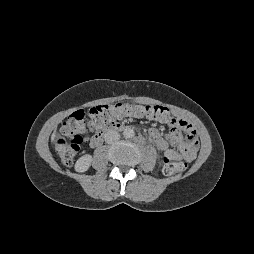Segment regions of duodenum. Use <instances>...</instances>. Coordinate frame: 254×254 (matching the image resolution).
Wrapping results in <instances>:
<instances>
[{
	"label": "duodenum",
	"instance_id": "410a0bca",
	"mask_svg": "<svg viewBox=\"0 0 254 254\" xmlns=\"http://www.w3.org/2000/svg\"><path fill=\"white\" fill-rule=\"evenodd\" d=\"M127 128H128V126L123 123H115L110 128H107L105 130H102V131L96 133L91 138L90 144L92 147H97L102 143L104 137L106 135H108L109 133H111L112 131H124Z\"/></svg>",
	"mask_w": 254,
	"mask_h": 254
}]
</instances>
